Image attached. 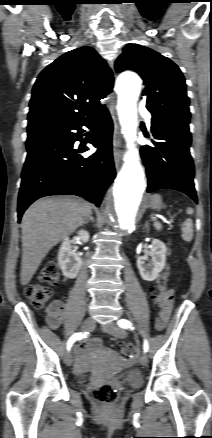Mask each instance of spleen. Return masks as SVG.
<instances>
[{
    "mask_svg": "<svg viewBox=\"0 0 212 438\" xmlns=\"http://www.w3.org/2000/svg\"><path fill=\"white\" fill-rule=\"evenodd\" d=\"M153 220H155V217H152ZM156 229L160 230L161 224L158 222L154 223ZM181 230H182V238L184 241L186 242H190L193 238V222L192 219L187 218L181 226Z\"/></svg>",
    "mask_w": 212,
    "mask_h": 438,
    "instance_id": "spleen-1",
    "label": "spleen"
}]
</instances>
